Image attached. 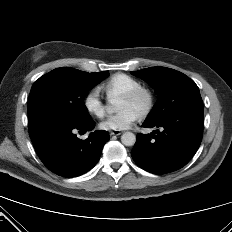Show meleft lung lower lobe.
<instances>
[{"label":"left lung lower lobe","mask_w":232,"mask_h":232,"mask_svg":"<svg viewBox=\"0 0 232 232\" xmlns=\"http://www.w3.org/2000/svg\"><path fill=\"white\" fill-rule=\"evenodd\" d=\"M203 105L177 110L160 121L145 120L143 127H162L151 134H138L131 151L142 169L165 174L185 166L200 146L203 135Z\"/></svg>","instance_id":"0a47b994"}]
</instances>
